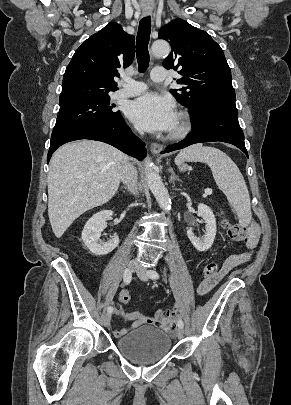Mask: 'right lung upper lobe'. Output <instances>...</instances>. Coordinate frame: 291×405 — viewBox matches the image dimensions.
<instances>
[{"mask_svg":"<svg viewBox=\"0 0 291 405\" xmlns=\"http://www.w3.org/2000/svg\"><path fill=\"white\" fill-rule=\"evenodd\" d=\"M135 38L111 22L90 36L74 53L64 73L59 101L109 96L117 69L134 58Z\"/></svg>","mask_w":291,"mask_h":405,"instance_id":"obj_1","label":"right lung upper lobe"}]
</instances>
